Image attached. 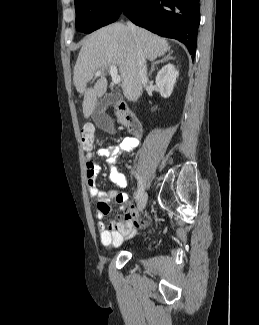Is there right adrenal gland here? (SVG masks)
<instances>
[{"instance_id":"obj_1","label":"right adrenal gland","mask_w":259,"mask_h":325,"mask_svg":"<svg viewBox=\"0 0 259 325\" xmlns=\"http://www.w3.org/2000/svg\"><path fill=\"white\" fill-rule=\"evenodd\" d=\"M172 57L170 56V54H168L166 57H164L163 59L161 60H158V61H155L151 64V69H150V72H149V76L151 77L152 76V73L154 71V68H155V65L159 64V63H162V62H165V61H168V60H171Z\"/></svg>"}]
</instances>
